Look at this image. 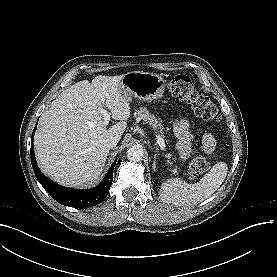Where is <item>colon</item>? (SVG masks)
Wrapping results in <instances>:
<instances>
[{"instance_id": "obj_1", "label": "colon", "mask_w": 277, "mask_h": 277, "mask_svg": "<svg viewBox=\"0 0 277 277\" xmlns=\"http://www.w3.org/2000/svg\"><path fill=\"white\" fill-rule=\"evenodd\" d=\"M169 93L186 101L195 114L203 120H218L219 111L216 105L208 97L200 94L193 86L189 77L180 75L174 78L168 85ZM209 169V162L201 155H196L190 166V174L198 177Z\"/></svg>"}]
</instances>
